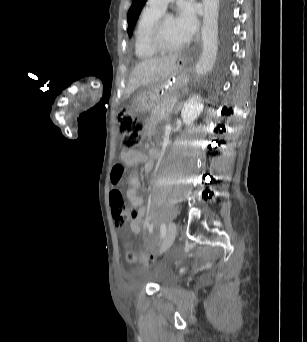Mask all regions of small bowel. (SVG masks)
<instances>
[{
	"label": "small bowel",
	"instance_id": "c3829d8e",
	"mask_svg": "<svg viewBox=\"0 0 307 342\" xmlns=\"http://www.w3.org/2000/svg\"><path fill=\"white\" fill-rule=\"evenodd\" d=\"M152 156H156V153L152 152ZM122 159L129 166H133L138 163H145L146 172H150L153 168V162L149 161L146 155L139 150L134 149L124 151L122 153ZM128 183L130 188L127 192V197L131 206L137 211V217L131 222L130 227L133 232H140V222L145 214L144 202L138 192L141 187V181L137 176L132 174L129 176Z\"/></svg>",
	"mask_w": 307,
	"mask_h": 342
}]
</instances>
